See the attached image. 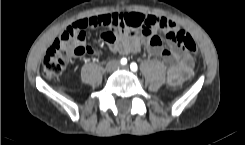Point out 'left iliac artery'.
Wrapping results in <instances>:
<instances>
[{
    "instance_id": "obj_1",
    "label": "left iliac artery",
    "mask_w": 245,
    "mask_h": 145,
    "mask_svg": "<svg viewBox=\"0 0 245 145\" xmlns=\"http://www.w3.org/2000/svg\"><path fill=\"white\" fill-rule=\"evenodd\" d=\"M130 68L132 71H137V69H138L137 64L134 62L130 64Z\"/></svg>"
}]
</instances>
